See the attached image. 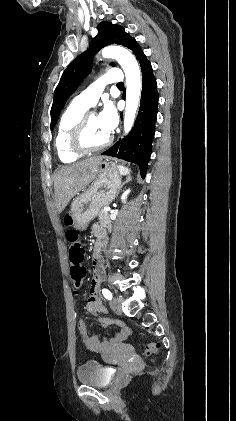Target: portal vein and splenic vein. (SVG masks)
<instances>
[{"label":"portal vein and splenic vein","instance_id":"18ae733b","mask_svg":"<svg viewBox=\"0 0 236 421\" xmlns=\"http://www.w3.org/2000/svg\"><path fill=\"white\" fill-rule=\"evenodd\" d=\"M106 211H110V208H106Z\"/></svg>","mask_w":236,"mask_h":421}]
</instances>
